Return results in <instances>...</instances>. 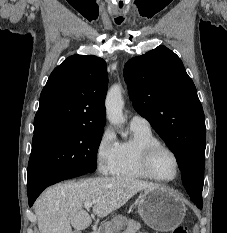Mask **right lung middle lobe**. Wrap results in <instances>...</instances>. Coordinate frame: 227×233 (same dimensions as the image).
Instances as JSON below:
<instances>
[{
  "label": "right lung middle lobe",
  "instance_id": "obj_1",
  "mask_svg": "<svg viewBox=\"0 0 227 233\" xmlns=\"http://www.w3.org/2000/svg\"><path fill=\"white\" fill-rule=\"evenodd\" d=\"M103 127H55L34 133L27 186L60 173H92Z\"/></svg>",
  "mask_w": 227,
  "mask_h": 233
}]
</instances>
